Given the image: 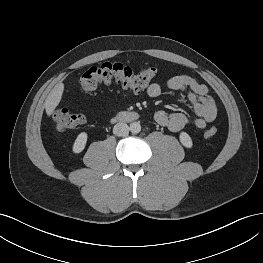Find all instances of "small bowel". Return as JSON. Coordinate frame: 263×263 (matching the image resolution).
<instances>
[{"instance_id": "c3829d8e", "label": "small bowel", "mask_w": 263, "mask_h": 263, "mask_svg": "<svg viewBox=\"0 0 263 263\" xmlns=\"http://www.w3.org/2000/svg\"><path fill=\"white\" fill-rule=\"evenodd\" d=\"M167 88L173 92L186 94L195 117L190 120L182 112L167 113L159 110L154 115L157 124L168 128L170 131L178 132L190 122L195 127L202 129L215 120L217 116L216 103L209 95L208 88L204 84L199 83L189 75L178 74L168 80ZM162 93L163 88L159 83H152L147 88V94L152 98L159 97Z\"/></svg>"}]
</instances>
